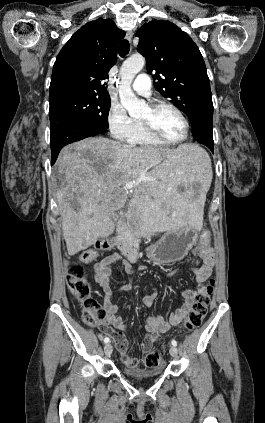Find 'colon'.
Segmentation results:
<instances>
[{
	"label": "colon",
	"instance_id": "obj_1",
	"mask_svg": "<svg viewBox=\"0 0 265 423\" xmlns=\"http://www.w3.org/2000/svg\"><path fill=\"white\" fill-rule=\"evenodd\" d=\"M209 233L201 235V243L198 248L208 245ZM112 243L110 240L98 241L94 247L87 250L81 258V262H73L68 266L67 284L73 296L81 300L84 311L83 320L91 327H100L102 330H108V314L99 307L92 296L90 286L86 280V270L84 263L91 262L100 251L110 249ZM215 281L207 280L196 295L195 303L182 325V330L189 332L199 327L207 314V307L210 303V296L213 292ZM162 364V355L160 350L151 351L138 365L140 368L154 369Z\"/></svg>",
	"mask_w": 265,
	"mask_h": 423
}]
</instances>
